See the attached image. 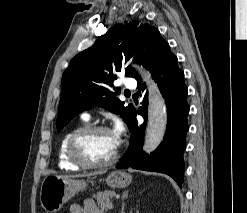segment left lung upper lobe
Returning a JSON list of instances; mask_svg holds the SVG:
<instances>
[{"label": "left lung upper lobe", "mask_w": 247, "mask_h": 213, "mask_svg": "<svg viewBox=\"0 0 247 213\" xmlns=\"http://www.w3.org/2000/svg\"><path fill=\"white\" fill-rule=\"evenodd\" d=\"M172 52L160 32L149 24L132 21L111 27L105 35L89 49L76 55L62 76V95L57 116V130H61L71 119L93 106L104 107L121 114L129 124L135 108L124 107L116 95L119 88L110 90L116 72L122 68V59L131 57L148 70L167 59ZM125 74L141 80L131 67Z\"/></svg>", "instance_id": "1"}]
</instances>
